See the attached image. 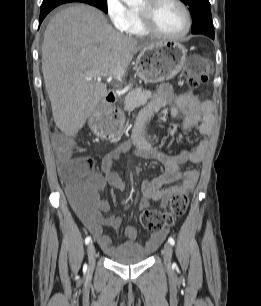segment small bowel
Returning a JSON list of instances; mask_svg holds the SVG:
<instances>
[{
    "mask_svg": "<svg viewBox=\"0 0 261 306\" xmlns=\"http://www.w3.org/2000/svg\"><path fill=\"white\" fill-rule=\"evenodd\" d=\"M169 107L170 115L176 117L179 113L185 116L182 130L188 131L201 125L202 133L207 134L213 124V106L209 101H201L199 96L192 92L175 93L168 84L159 87L157 93L150 102L145 105L137 115L133 128L132 142L126 141L118 144L108 151L102 158V172L95 169V164L90 158H83L89 167L88 184L93 190V196L82 206L80 220L88 231L94 236L102 250L110 257H119L126 254L150 253L161 244L167 229L153 233L143 246L137 242V231L128 226L125 229L127 241L115 247L111 241V235L107 230L117 229L121 224V218L117 216H103L109 211L110 205L100 193L108 186L116 189H124V181L121 172L116 168V162L126 153H131L132 159H152L160 161L164 166V173L152 180H144L141 183L142 200L140 209L144 210L150 206L151 201L159 202L165 207L172 196L178 193H188L195 185L199 176L197 168L183 171L180 165L186 162L194 164L201 163L207 153L209 141L205 136L197 146L191 150H181L176 155H168L160 152L145 137L146 123L161 109ZM132 145L135 149L132 150ZM69 159H76L69 157ZM68 159L60 156L58 158L59 169ZM179 182L167 188L163 185Z\"/></svg>",
    "mask_w": 261,
    "mask_h": 306,
    "instance_id": "1",
    "label": "small bowel"
}]
</instances>
